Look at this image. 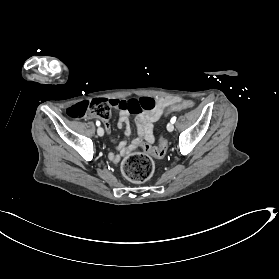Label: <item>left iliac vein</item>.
I'll use <instances>...</instances> for the list:
<instances>
[{
  "label": "left iliac vein",
  "instance_id": "1",
  "mask_svg": "<svg viewBox=\"0 0 279 279\" xmlns=\"http://www.w3.org/2000/svg\"><path fill=\"white\" fill-rule=\"evenodd\" d=\"M167 130L169 131V132H172L173 130H174V125H173V123H168L167 124Z\"/></svg>",
  "mask_w": 279,
  "mask_h": 279
}]
</instances>
